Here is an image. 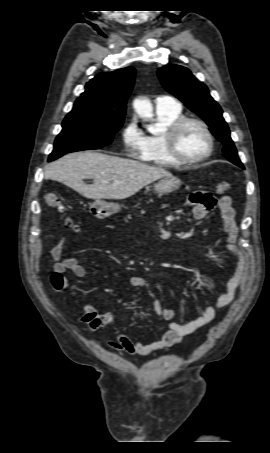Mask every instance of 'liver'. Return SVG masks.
<instances>
[{"label": "liver", "mask_w": 270, "mask_h": 453, "mask_svg": "<svg viewBox=\"0 0 270 453\" xmlns=\"http://www.w3.org/2000/svg\"><path fill=\"white\" fill-rule=\"evenodd\" d=\"M172 174L160 166L93 151L75 152L51 163L45 178L58 181L88 199H125ZM93 179L86 185L84 179ZM102 180L108 183H102Z\"/></svg>", "instance_id": "6515ba94"}]
</instances>
